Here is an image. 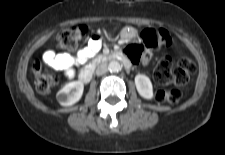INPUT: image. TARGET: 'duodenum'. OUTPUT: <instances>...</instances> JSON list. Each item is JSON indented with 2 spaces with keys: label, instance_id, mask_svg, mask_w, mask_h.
Wrapping results in <instances>:
<instances>
[{
  "label": "duodenum",
  "instance_id": "obj_1",
  "mask_svg": "<svg viewBox=\"0 0 225 155\" xmlns=\"http://www.w3.org/2000/svg\"><path fill=\"white\" fill-rule=\"evenodd\" d=\"M107 61H119L125 67L131 66L130 61L124 54H122L121 52H111L97 57L91 64L86 66L79 74L80 81L83 83H88L92 79L95 68Z\"/></svg>",
  "mask_w": 225,
  "mask_h": 155
}]
</instances>
